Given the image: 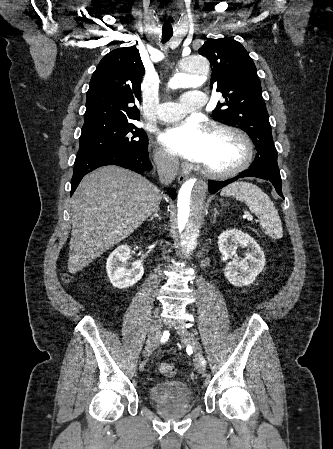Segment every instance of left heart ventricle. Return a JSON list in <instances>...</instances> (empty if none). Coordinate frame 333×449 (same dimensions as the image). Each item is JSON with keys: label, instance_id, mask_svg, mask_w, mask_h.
<instances>
[{"label": "left heart ventricle", "instance_id": "1", "mask_svg": "<svg viewBox=\"0 0 333 449\" xmlns=\"http://www.w3.org/2000/svg\"><path fill=\"white\" fill-rule=\"evenodd\" d=\"M242 154V146L236 139L208 132L199 163L213 170H225L239 163Z\"/></svg>", "mask_w": 333, "mask_h": 449}]
</instances>
